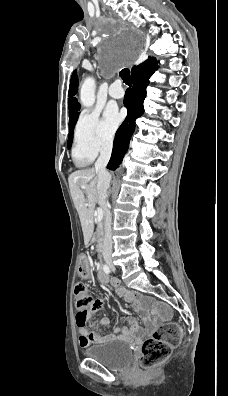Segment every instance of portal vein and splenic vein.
<instances>
[{"instance_id":"1","label":"portal vein and splenic vein","mask_w":228,"mask_h":396,"mask_svg":"<svg viewBox=\"0 0 228 396\" xmlns=\"http://www.w3.org/2000/svg\"><path fill=\"white\" fill-rule=\"evenodd\" d=\"M96 216H97V221L101 222L103 219V210L101 208L97 209Z\"/></svg>"}]
</instances>
